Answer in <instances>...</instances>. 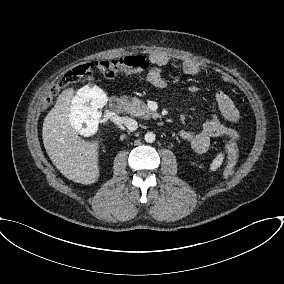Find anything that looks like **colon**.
<instances>
[{"label": "colon", "mask_w": 284, "mask_h": 284, "mask_svg": "<svg viewBox=\"0 0 284 284\" xmlns=\"http://www.w3.org/2000/svg\"><path fill=\"white\" fill-rule=\"evenodd\" d=\"M149 63L145 56L134 55L116 59L89 62L67 71L49 89L46 95V105H49L54 96L67 86L82 80L90 79L95 72L106 78L119 75H133L146 70ZM238 161L237 140L234 135L228 136L226 163L223 174L228 177L234 174Z\"/></svg>", "instance_id": "5ec220e1"}]
</instances>
